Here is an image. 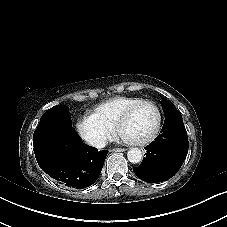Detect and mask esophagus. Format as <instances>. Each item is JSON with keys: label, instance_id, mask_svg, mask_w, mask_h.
Segmentation results:
<instances>
[{"label": "esophagus", "instance_id": "esophagus-1", "mask_svg": "<svg viewBox=\"0 0 227 227\" xmlns=\"http://www.w3.org/2000/svg\"><path fill=\"white\" fill-rule=\"evenodd\" d=\"M126 150H127V148H124V147H117V148L112 149V151H114V152H123Z\"/></svg>", "mask_w": 227, "mask_h": 227}]
</instances>
